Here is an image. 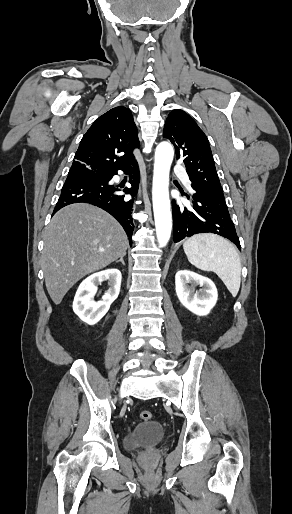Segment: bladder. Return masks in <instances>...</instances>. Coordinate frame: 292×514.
I'll return each instance as SVG.
<instances>
[{"instance_id": "31cf9c89", "label": "bladder", "mask_w": 292, "mask_h": 514, "mask_svg": "<svg viewBox=\"0 0 292 514\" xmlns=\"http://www.w3.org/2000/svg\"><path fill=\"white\" fill-rule=\"evenodd\" d=\"M165 429L158 421L149 420L136 424L125 434L124 447L133 450L139 447L152 446L162 442Z\"/></svg>"}]
</instances>
